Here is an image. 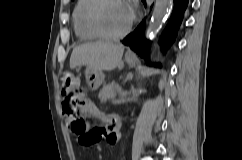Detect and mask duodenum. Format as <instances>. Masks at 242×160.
I'll use <instances>...</instances> for the list:
<instances>
[{
	"label": "duodenum",
	"instance_id": "obj_1",
	"mask_svg": "<svg viewBox=\"0 0 242 160\" xmlns=\"http://www.w3.org/2000/svg\"><path fill=\"white\" fill-rule=\"evenodd\" d=\"M104 120L106 121L107 124H111L112 123V119H110V118H106V119L104 118Z\"/></svg>",
	"mask_w": 242,
	"mask_h": 160
}]
</instances>
